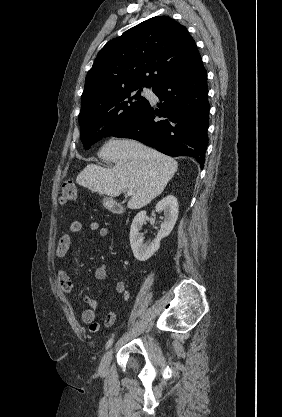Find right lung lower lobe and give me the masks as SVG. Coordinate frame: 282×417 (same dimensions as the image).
Segmentation results:
<instances>
[{
    "label": "right lung lower lobe",
    "instance_id": "98d812e1",
    "mask_svg": "<svg viewBox=\"0 0 282 417\" xmlns=\"http://www.w3.org/2000/svg\"><path fill=\"white\" fill-rule=\"evenodd\" d=\"M153 92L161 102L158 108L149 103L112 136L135 139L169 156L194 157L203 169L210 106L202 61L177 72Z\"/></svg>",
    "mask_w": 282,
    "mask_h": 417
}]
</instances>
